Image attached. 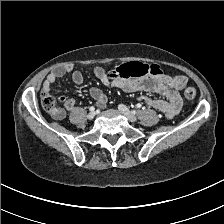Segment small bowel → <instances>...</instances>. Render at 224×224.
I'll return each mask as SVG.
<instances>
[{
	"instance_id": "1",
	"label": "small bowel",
	"mask_w": 224,
	"mask_h": 224,
	"mask_svg": "<svg viewBox=\"0 0 224 224\" xmlns=\"http://www.w3.org/2000/svg\"><path fill=\"white\" fill-rule=\"evenodd\" d=\"M66 73H71L72 81L81 85L83 83V75L80 71L73 70L72 65L60 66L49 73L43 82V93H49L52 85ZM94 76L105 86L119 88L126 92L146 91L158 93L164 99H153L147 95L140 96V100L147 105L159 110L165 114L166 117L172 118L177 115L181 109L182 101L179 91L187 84V78L181 75L169 76L162 72L158 75H150L132 80H123L120 78H110L104 68L95 67L93 70ZM91 97L98 105L103 106L107 97L104 92L97 88H90ZM75 105V101L69 98L65 101V108L59 109L53 116L56 119H63L66 115V110H71Z\"/></svg>"
}]
</instances>
